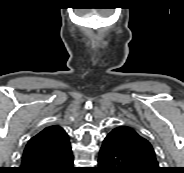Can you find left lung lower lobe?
<instances>
[{"instance_id":"0a47b994","label":"left lung lower lobe","mask_w":184,"mask_h":173,"mask_svg":"<svg viewBox=\"0 0 184 173\" xmlns=\"http://www.w3.org/2000/svg\"><path fill=\"white\" fill-rule=\"evenodd\" d=\"M98 162L99 173H143L117 145L114 133H109L103 140Z\"/></svg>"}]
</instances>
